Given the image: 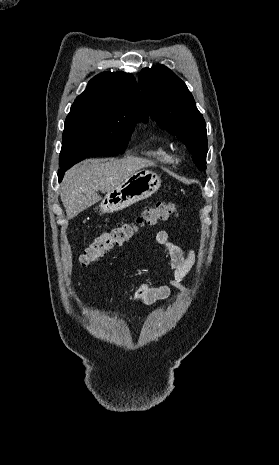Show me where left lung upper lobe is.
<instances>
[{
    "instance_id": "obj_1",
    "label": "left lung upper lobe",
    "mask_w": 279,
    "mask_h": 465,
    "mask_svg": "<svg viewBox=\"0 0 279 465\" xmlns=\"http://www.w3.org/2000/svg\"><path fill=\"white\" fill-rule=\"evenodd\" d=\"M149 113L162 129L176 135L193 154L200 170L206 169V123L185 83L163 65L144 68L139 75Z\"/></svg>"
}]
</instances>
